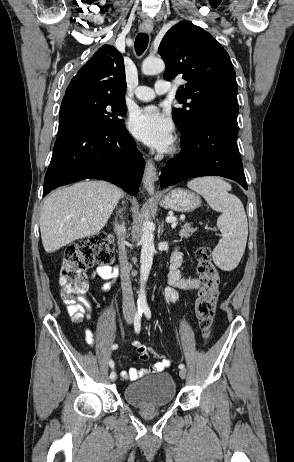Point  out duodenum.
I'll return each mask as SVG.
<instances>
[{
    "mask_svg": "<svg viewBox=\"0 0 294 462\" xmlns=\"http://www.w3.org/2000/svg\"><path fill=\"white\" fill-rule=\"evenodd\" d=\"M120 254H121V258L125 259L126 255H127V251H126V249L124 247L121 249Z\"/></svg>",
    "mask_w": 294,
    "mask_h": 462,
    "instance_id": "1",
    "label": "duodenum"
}]
</instances>
